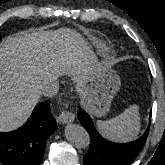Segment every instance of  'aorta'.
<instances>
[{"mask_svg":"<svg viewBox=\"0 0 165 165\" xmlns=\"http://www.w3.org/2000/svg\"><path fill=\"white\" fill-rule=\"evenodd\" d=\"M65 137L76 148H86L90 143L88 132L77 124H69L66 126Z\"/></svg>","mask_w":165,"mask_h":165,"instance_id":"762f6f07","label":"aorta"}]
</instances>
